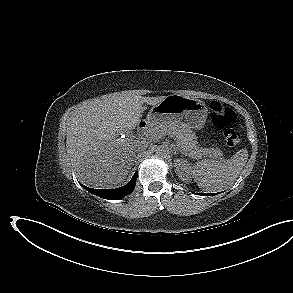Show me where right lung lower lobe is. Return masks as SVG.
<instances>
[{
	"label": "right lung lower lobe",
	"mask_w": 293,
	"mask_h": 293,
	"mask_svg": "<svg viewBox=\"0 0 293 293\" xmlns=\"http://www.w3.org/2000/svg\"><path fill=\"white\" fill-rule=\"evenodd\" d=\"M136 179H137V172H135V174L133 175L132 179L130 180V182L122 187L116 188V189H92L89 187H86L83 185V187L99 196L102 197L104 199H109V200H116V199H120L128 194H130L134 188H135V184H136Z\"/></svg>",
	"instance_id": "right-lung-lower-lobe-1"
}]
</instances>
